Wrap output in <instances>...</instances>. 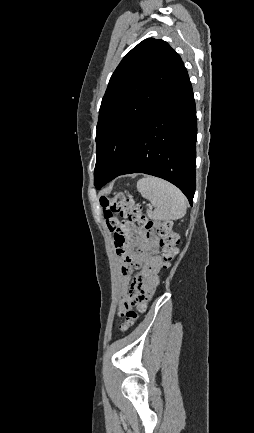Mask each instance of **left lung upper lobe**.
Wrapping results in <instances>:
<instances>
[{
	"label": "left lung upper lobe",
	"instance_id": "5c2ea615",
	"mask_svg": "<svg viewBox=\"0 0 254 433\" xmlns=\"http://www.w3.org/2000/svg\"><path fill=\"white\" fill-rule=\"evenodd\" d=\"M184 64L163 40L135 46L112 74L97 124L96 188L124 161L139 131L160 103Z\"/></svg>",
	"mask_w": 254,
	"mask_h": 433
}]
</instances>
